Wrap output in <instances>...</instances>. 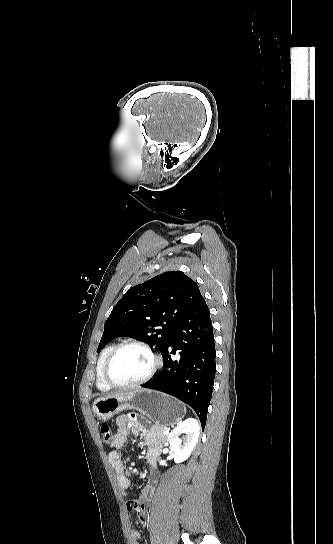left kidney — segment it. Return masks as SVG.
I'll list each match as a JSON object with an SVG mask.
<instances>
[{
	"mask_svg": "<svg viewBox=\"0 0 333 544\" xmlns=\"http://www.w3.org/2000/svg\"><path fill=\"white\" fill-rule=\"evenodd\" d=\"M199 433L200 427L194 418L185 420L171 431L167 441L170 444V450L173 452L175 463L183 462L189 458L196 446Z\"/></svg>",
	"mask_w": 333,
	"mask_h": 544,
	"instance_id": "5707ae66",
	"label": "left kidney"
}]
</instances>
